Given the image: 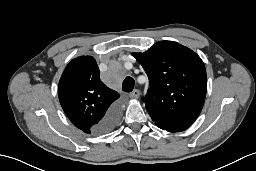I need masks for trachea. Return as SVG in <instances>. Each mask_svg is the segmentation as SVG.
<instances>
[{
  "label": "trachea",
  "mask_w": 256,
  "mask_h": 171,
  "mask_svg": "<svg viewBox=\"0 0 256 171\" xmlns=\"http://www.w3.org/2000/svg\"><path fill=\"white\" fill-rule=\"evenodd\" d=\"M135 81L132 77H126L122 84V90L124 92H131L134 89Z\"/></svg>",
  "instance_id": "3493384b"
}]
</instances>
